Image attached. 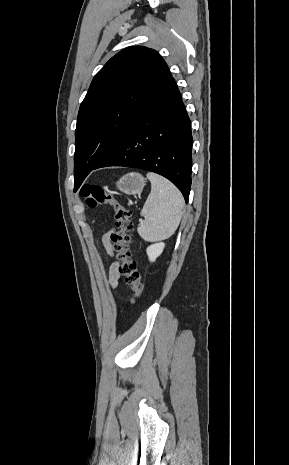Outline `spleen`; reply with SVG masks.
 <instances>
[{
    "instance_id": "3e777b00",
    "label": "spleen",
    "mask_w": 289,
    "mask_h": 465,
    "mask_svg": "<svg viewBox=\"0 0 289 465\" xmlns=\"http://www.w3.org/2000/svg\"><path fill=\"white\" fill-rule=\"evenodd\" d=\"M151 192L141 210L145 219L138 228V234L148 242L169 238L179 226L184 206L181 192L166 178L148 173Z\"/></svg>"
}]
</instances>
